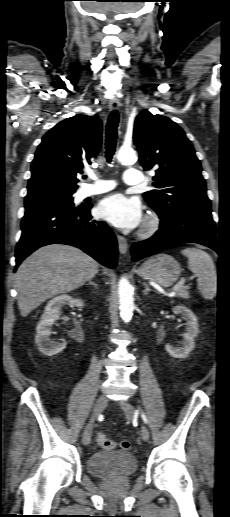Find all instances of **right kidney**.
Returning <instances> with one entry per match:
<instances>
[{"label":"right kidney","mask_w":230,"mask_h":517,"mask_svg":"<svg viewBox=\"0 0 230 517\" xmlns=\"http://www.w3.org/2000/svg\"><path fill=\"white\" fill-rule=\"evenodd\" d=\"M65 305H75L78 308L84 306L81 299H75L68 295H60L50 300L45 307L37 328L35 342L38 349L46 356H53L60 353L66 347V343H58L49 338L51 327L59 319L61 308Z\"/></svg>","instance_id":"obj_1"}]
</instances>
